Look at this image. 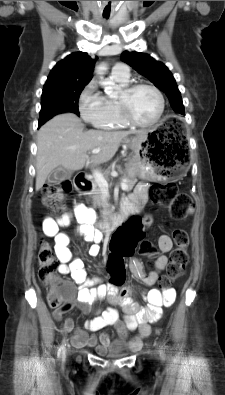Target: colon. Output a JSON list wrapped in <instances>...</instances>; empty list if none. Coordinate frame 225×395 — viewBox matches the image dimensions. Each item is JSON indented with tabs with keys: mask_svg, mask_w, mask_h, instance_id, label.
<instances>
[{
	"mask_svg": "<svg viewBox=\"0 0 225 395\" xmlns=\"http://www.w3.org/2000/svg\"><path fill=\"white\" fill-rule=\"evenodd\" d=\"M71 191L72 184L69 180L47 184L44 188L43 202L55 211H62L65 208L66 197ZM150 197L155 204L168 209L175 220L186 219L193 210L191 198L186 193L179 192L174 183L152 185ZM129 220V223H122L121 228L115 229V234L111 235V244H108L106 265L109 277L114 279V288L123 286L122 279L127 270L124 257L134 256L135 251H138L139 256H150L154 253L152 243L144 240L143 215H130ZM172 237L175 247L170 255L166 275L162 279L164 286L180 277L188 262V233L183 229H175ZM38 266V278L49 288V305L57 309L68 308V301L74 295L73 287L57 276L59 262L49 241L40 242Z\"/></svg>",
	"mask_w": 225,
	"mask_h": 395,
	"instance_id": "1",
	"label": "colon"
}]
</instances>
